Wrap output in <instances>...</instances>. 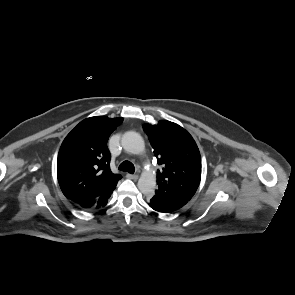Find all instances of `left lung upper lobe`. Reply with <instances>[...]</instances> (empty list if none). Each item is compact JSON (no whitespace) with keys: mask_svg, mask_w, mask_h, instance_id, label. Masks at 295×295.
Segmentation results:
<instances>
[{"mask_svg":"<svg viewBox=\"0 0 295 295\" xmlns=\"http://www.w3.org/2000/svg\"><path fill=\"white\" fill-rule=\"evenodd\" d=\"M162 170L157 171L158 191L190 200L201 180V156L192 136L167 120L143 125Z\"/></svg>","mask_w":295,"mask_h":295,"instance_id":"left-lung-upper-lobe-1","label":"left lung upper lobe"}]
</instances>
